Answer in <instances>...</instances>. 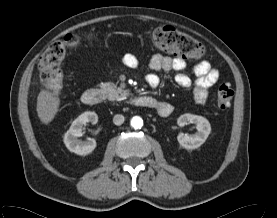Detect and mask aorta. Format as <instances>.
Listing matches in <instances>:
<instances>
[{"label":"aorta","mask_w":277,"mask_h":218,"mask_svg":"<svg viewBox=\"0 0 277 218\" xmlns=\"http://www.w3.org/2000/svg\"><path fill=\"white\" fill-rule=\"evenodd\" d=\"M131 126L134 128V129H140L142 126H143V120L141 117L139 116H134L132 119H131Z\"/></svg>","instance_id":"aorta-1"}]
</instances>
